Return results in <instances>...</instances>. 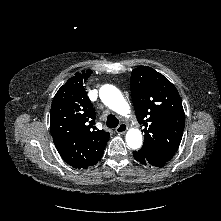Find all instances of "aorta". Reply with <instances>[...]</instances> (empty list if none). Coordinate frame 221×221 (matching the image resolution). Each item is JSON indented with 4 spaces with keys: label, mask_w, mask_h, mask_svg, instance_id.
<instances>
[{
    "label": "aorta",
    "mask_w": 221,
    "mask_h": 221,
    "mask_svg": "<svg viewBox=\"0 0 221 221\" xmlns=\"http://www.w3.org/2000/svg\"><path fill=\"white\" fill-rule=\"evenodd\" d=\"M102 102L111 110L120 115L127 116L130 111L129 104L121 91L112 85H104L99 90ZM126 142L129 148L138 149L142 145V134L138 129L132 128L126 133Z\"/></svg>",
    "instance_id": "1"
}]
</instances>
